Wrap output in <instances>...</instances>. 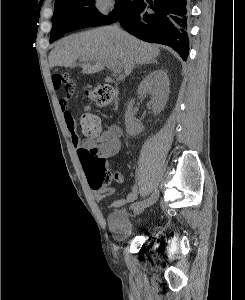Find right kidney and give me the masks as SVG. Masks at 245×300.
I'll list each match as a JSON object with an SVG mask.
<instances>
[{"mask_svg": "<svg viewBox=\"0 0 245 300\" xmlns=\"http://www.w3.org/2000/svg\"><path fill=\"white\" fill-rule=\"evenodd\" d=\"M151 95L150 105L155 114L160 113L167 102L169 95V78L165 71L155 70L142 80L138 87V95ZM134 100H131L125 112L126 131L130 136H135L143 131L144 127L137 122L132 112Z\"/></svg>", "mask_w": 245, "mask_h": 300, "instance_id": "right-kidney-1", "label": "right kidney"}]
</instances>
